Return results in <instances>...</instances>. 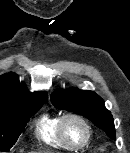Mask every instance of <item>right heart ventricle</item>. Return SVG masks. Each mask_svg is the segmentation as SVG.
Instances as JSON below:
<instances>
[{"instance_id": "1", "label": "right heart ventricle", "mask_w": 130, "mask_h": 153, "mask_svg": "<svg viewBox=\"0 0 130 153\" xmlns=\"http://www.w3.org/2000/svg\"><path fill=\"white\" fill-rule=\"evenodd\" d=\"M60 115L53 112H46L41 114L35 121V134L37 138L48 146L71 150L63 142L59 131Z\"/></svg>"}]
</instances>
